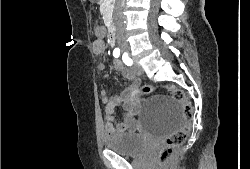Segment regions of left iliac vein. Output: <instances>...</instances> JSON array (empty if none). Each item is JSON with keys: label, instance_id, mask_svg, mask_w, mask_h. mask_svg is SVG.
Listing matches in <instances>:
<instances>
[{"label": "left iliac vein", "instance_id": "left-iliac-vein-1", "mask_svg": "<svg viewBox=\"0 0 250 169\" xmlns=\"http://www.w3.org/2000/svg\"><path fill=\"white\" fill-rule=\"evenodd\" d=\"M130 71L132 73H135L137 75H141L143 73V70L141 68V66L137 63V61H134L133 66L130 68Z\"/></svg>", "mask_w": 250, "mask_h": 169}]
</instances>
